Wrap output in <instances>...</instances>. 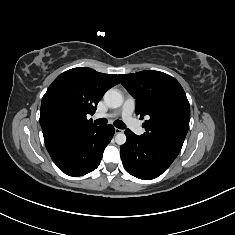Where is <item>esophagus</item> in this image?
Masks as SVG:
<instances>
[{
    "label": "esophagus",
    "mask_w": 235,
    "mask_h": 235,
    "mask_svg": "<svg viewBox=\"0 0 235 235\" xmlns=\"http://www.w3.org/2000/svg\"><path fill=\"white\" fill-rule=\"evenodd\" d=\"M114 132H115V134H118V133L123 132V130H122V129H119V128H115V129H114Z\"/></svg>",
    "instance_id": "esophagus-1"
}]
</instances>
